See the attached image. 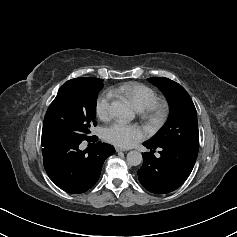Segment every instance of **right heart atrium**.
I'll use <instances>...</instances> for the list:
<instances>
[{
    "instance_id": "1",
    "label": "right heart atrium",
    "mask_w": 237,
    "mask_h": 237,
    "mask_svg": "<svg viewBox=\"0 0 237 237\" xmlns=\"http://www.w3.org/2000/svg\"><path fill=\"white\" fill-rule=\"evenodd\" d=\"M113 94L111 91L103 92L96 101V114L100 119L106 120L111 116V101Z\"/></svg>"
}]
</instances>
